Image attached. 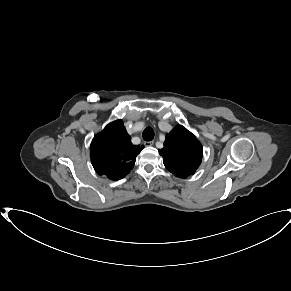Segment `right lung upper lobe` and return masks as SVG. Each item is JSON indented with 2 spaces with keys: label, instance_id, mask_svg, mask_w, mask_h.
Listing matches in <instances>:
<instances>
[{
  "label": "right lung upper lobe",
  "instance_id": "cb5924a9",
  "mask_svg": "<svg viewBox=\"0 0 291 291\" xmlns=\"http://www.w3.org/2000/svg\"><path fill=\"white\" fill-rule=\"evenodd\" d=\"M144 146L131 143L121 120H116L96 135L91 143L90 157L95 171L110 180H119L132 170L136 156Z\"/></svg>",
  "mask_w": 291,
  "mask_h": 291
}]
</instances>
